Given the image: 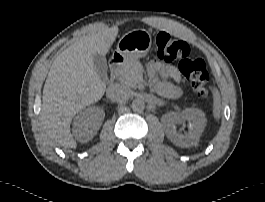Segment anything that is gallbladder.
<instances>
[{
    "label": "gallbladder",
    "mask_w": 265,
    "mask_h": 202,
    "mask_svg": "<svg viewBox=\"0 0 265 202\" xmlns=\"http://www.w3.org/2000/svg\"><path fill=\"white\" fill-rule=\"evenodd\" d=\"M93 62L98 75L100 77H105L107 75V63L105 57L100 54H94Z\"/></svg>",
    "instance_id": "gallbladder-1"
}]
</instances>
